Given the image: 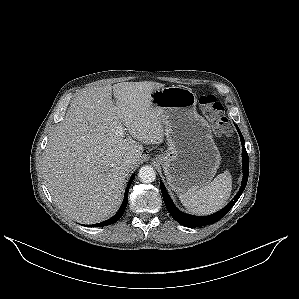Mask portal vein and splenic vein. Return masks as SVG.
Wrapping results in <instances>:
<instances>
[{"label":"portal vein and splenic vein","instance_id":"1","mask_svg":"<svg viewBox=\"0 0 299 299\" xmlns=\"http://www.w3.org/2000/svg\"><path fill=\"white\" fill-rule=\"evenodd\" d=\"M124 131H125L124 127L120 126V127L118 128V133H119L121 136L124 134Z\"/></svg>","mask_w":299,"mask_h":299}]
</instances>
